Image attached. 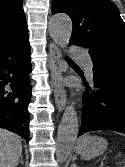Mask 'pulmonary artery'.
<instances>
[{"mask_svg":"<svg viewBox=\"0 0 125 167\" xmlns=\"http://www.w3.org/2000/svg\"><path fill=\"white\" fill-rule=\"evenodd\" d=\"M71 54L75 58L83 61L84 65H85V70H86L87 74L90 77H92L93 64H92V61L90 60L89 56L85 52H83V51H81L79 49H73L71 51Z\"/></svg>","mask_w":125,"mask_h":167,"instance_id":"1","label":"pulmonary artery"}]
</instances>
